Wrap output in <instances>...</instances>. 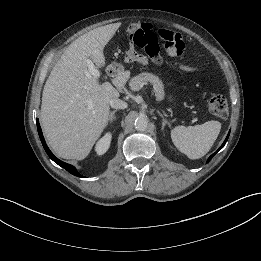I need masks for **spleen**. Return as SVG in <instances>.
I'll return each instance as SVG.
<instances>
[{
  "mask_svg": "<svg viewBox=\"0 0 261 261\" xmlns=\"http://www.w3.org/2000/svg\"><path fill=\"white\" fill-rule=\"evenodd\" d=\"M221 130L218 121L195 126H177L171 130L176 148L190 159H199L209 152Z\"/></svg>",
  "mask_w": 261,
  "mask_h": 261,
  "instance_id": "obj_1",
  "label": "spleen"
}]
</instances>
